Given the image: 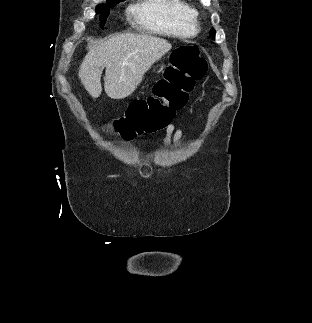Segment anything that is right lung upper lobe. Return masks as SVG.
<instances>
[{
    "label": "right lung upper lobe",
    "mask_w": 312,
    "mask_h": 323,
    "mask_svg": "<svg viewBox=\"0 0 312 323\" xmlns=\"http://www.w3.org/2000/svg\"><path fill=\"white\" fill-rule=\"evenodd\" d=\"M120 1H122V0H107V4H109V3L116 4V3L120 2ZM100 5H103V4H100Z\"/></svg>",
    "instance_id": "cb5924a9"
}]
</instances>
